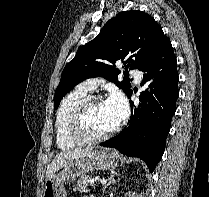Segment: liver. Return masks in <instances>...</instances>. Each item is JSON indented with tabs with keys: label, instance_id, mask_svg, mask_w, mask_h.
I'll return each mask as SVG.
<instances>
[{
	"label": "liver",
	"instance_id": "1",
	"mask_svg": "<svg viewBox=\"0 0 209 197\" xmlns=\"http://www.w3.org/2000/svg\"><path fill=\"white\" fill-rule=\"evenodd\" d=\"M92 150L93 147H88L84 149L64 151L57 154L53 161L47 167L46 179L53 176L56 171L68 165L69 163L87 156Z\"/></svg>",
	"mask_w": 209,
	"mask_h": 197
}]
</instances>
